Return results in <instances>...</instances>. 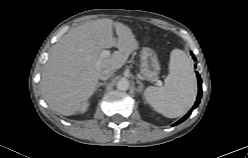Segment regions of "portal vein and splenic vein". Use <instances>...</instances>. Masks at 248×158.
I'll list each match as a JSON object with an SVG mask.
<instances>
[{
  "instance_id": "1",
  "label": "portal vein and splenic vein",
  "mask_w": 248,
  "mask_h": 158,
  "mask_svg": "<svg viewBox=\"0 0 248 158\" xmlns=\"http://www.w3.org/2000/svg\"><path fill=\"white\" fill-rule=\"evenodd\" d=\"M110 55V51L109 50H103L102 52H101V56H103V57H108ZM159 86H161L162 85V82L161 81H158V83H157Z\"/></svg>"
}]
</instances>
